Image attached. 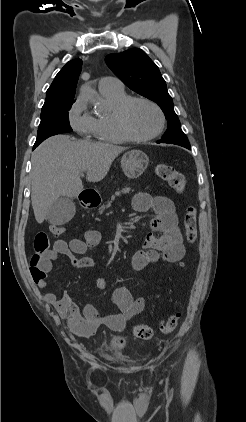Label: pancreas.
Listing matches in <instances>:
<instances>
[{"instance_id": "1", "label": "pancreas", "mask_w": 246, "mask_h": 422, "mask_svg": "<svg viewBox=\"0 0 246 422\" xmlns=\"http://www.w3.org/2000/svg\"><path fill=\"white\" fill-rule=\"evenodd\" d=\"M131 191V189L129 188V187H125V188H123L121 191H116L115 193H114V195H112L111 196V201H109L108 203H107V205H102L100 208H99V212H103L106 208H108L109 206H110V204H111V202H112V200H114V198L116 197V196H120L122 193H129Z\"/></svg>"}]
</instances>
